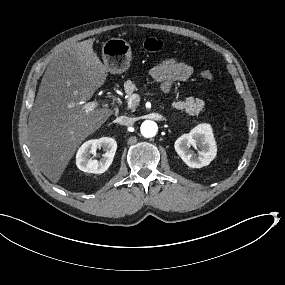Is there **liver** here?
<instances>
[{
  "instance_id": "6515ba94",
  "label": "liver",
  "mask_w": 285,
  "mask_h": 285,
  "mask_svg": "<svg viewBox=\"0 0 285 285\" xmlns=\"http://www.w3.org/2000/svg\"><path fill=\"white\" fill-rule=\"evenodd\" d=\"M94 39L60 50L46 69L28 122V146L34 164L53 183L87 137L115 113L82 109L106 82L109 69L93 51Z\"/></svg>"
}]
</instances>
